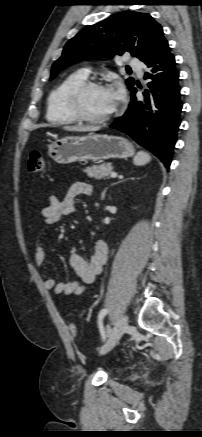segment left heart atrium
Instances as JSON below:
<instances>
[{
    "instance_id": "obj_1",
    "label": "left heart atrium",
    "mask_w": 202,
    "mask_h": 437,
    "mask_svg": "<svg viewBox=\"0 0 202 437\" xmlns=\"http://www.w3.org/2000/svg\"><path fill=\"white\" fill-rule=\"evenodd\" d=\"M110 90L113 93V95L115 96V98L118 100L120 98V95H121V89L119 87H116V88H111Z\"/></svg>"
}]
</instances>
